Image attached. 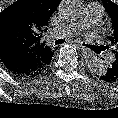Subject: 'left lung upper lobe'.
<instances>
[{"mask_svg":"<svg viewBox=\"0 0 118 118\" xmlns=\"http://www.w3.org/2000/svg\"><path fill=\"white\" fill-rule=\"evenodd\" d=\"M103 6L111 17L114 30L110 40L113 45L112 52L115 55V60L110 67L118 71V5L110 0H103Z\"/></svg>","mask_w":118,"mask_h":118,"instance_id":"1","label":"left lung upper lobe"}]
</instances>
